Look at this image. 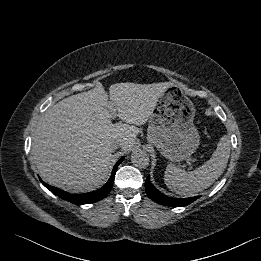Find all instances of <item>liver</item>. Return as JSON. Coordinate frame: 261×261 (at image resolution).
I'll use <instances>...</instances> for the list:
<instances>
[{"instance_id": "obj_1", "label": "liver", "mask_w": 261, "mask_h": 261, "mask_svg": "<svg viewBox=\"0 0 261 261\" xmlns=\"http://www.w3.org/2000/svg\"><path fill=\"white\" fill-rule=\"evenodd\" d=\"M171 84L116 83L107 95L98 83L56 103L41 117L32 139L31 154L41 177L73 193L99 188L111 168L112 144L120 141L124 151L134 146L137 126L147 122ZM112 109L125 123H112Z\"/></svg>"}]
</instances>
